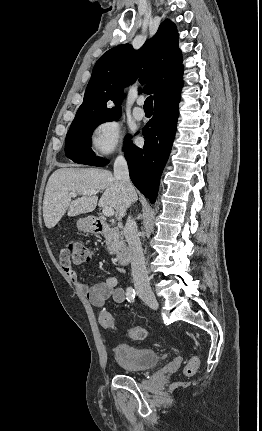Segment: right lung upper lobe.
I'll use <instances>...</instances> for the list:
<instances>
[{
    "label": "right lung upper lobe",
    "mask_w": 262,
    "mask_h": 431,
    "mask_svg": "<svg viewBox=\"0 0 262 431\" xmlns=\"http://www.w3.org/2000/svg\"><path fill=\"white\" fill-rule=\"evenodd\" d=\"M182 74L178 32L174 23L166 19L141 49L134 50L130 44H122L99 58L75 119L120 116L124 87L137 78L140 83H146L143 90L154 93L157 103L181 91Z\"/></svg>",
    "instance_id": "obj_1"
}]
</instances>
